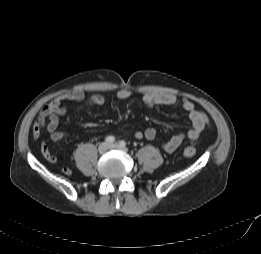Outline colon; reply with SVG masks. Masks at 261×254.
I'll return each instance as SVG.
<instances>
[{
    "label": "colon",
    "mask_w": 261,
    "mask_h": 254,
    "mask_svg": "<svg viewBox=\"0 0 261 254\" xmlns=\"http://www.w3.org/2000/svg\"><path fill=\"white\" fill-rule=\"evenodd\" d=\"M196 154V147H195V143L191 142L189 143L185 149H184V155L188 158L193 157ZM62 172L69 175L71 173L70 169L67 167H62Z\"/></svg>",
    "instance_id": "5ec220e1"
}]
</instances>
